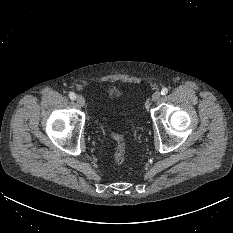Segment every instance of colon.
<instances>
[{
	"instance_id": "5ec220e1",
	"label": "colon",
	"mask_w": 233,
	"mask_h": 233,
	"mask_svg": "<svg viewBox=\"0 0 233 233\" xmlns=\"http://www.w3.org/2000/svg\"><path fill=\"white\" fill-rule=\"evenodd\" d=\"M116 148L114 152V160L118 164H122L126 158V144L122 136L115 135Z\"/></svg>"
}]
</instances>
